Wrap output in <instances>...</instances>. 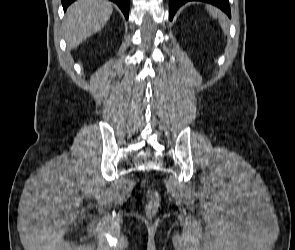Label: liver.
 Returning a JSON list of instances; mask_svg holds the SVG:
<instances>
[{
    "instance_id": "1",
    "label": "liver",
    "mask_w": 295,
    "mask_h": 250,
    "mask_svg": "<svg viewBox=\"0 0 295 250\" xmlns=\"http://www.w3.org/2000/svg\"><path fill=\"white\" fill-rule=\"evenodd\" d=\"M112 11V4L106 0H78L71 4L64 21L68 48H76L100 31L109 20Z\"/></svg>"
}]
</instances>
